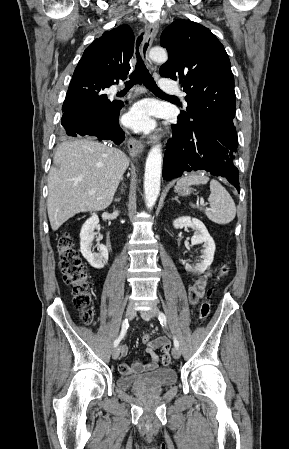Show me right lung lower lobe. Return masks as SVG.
I'll use <instances>...</instances> for the list:
<instances>
[{"label": "right lung lower lobe", "instance_id": "obj_1", "mask_svg": "<svg viewBox=\"0 0 289 449\" xmlns=\"http://www.w3.org/2000/svg\"><path fill=\"white\" fill-rule=\"evenodd\" d=\"M107 88L95 81L72 78L65 101L61 124L67 136H96L119 145L125 132L119 126L122 102L110 101L102 91Z\"/></svg>", "mask_w": 289, "mask_h": 449}]
</instances>
